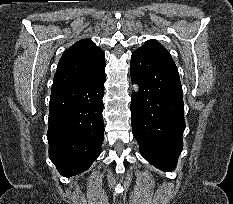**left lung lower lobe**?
<instances>
[{
  "label": "left lung lower lobe",
  "mask_w": 233,
  "mask_h": 204,
  "mask_svg": "<svg viewBox=\"0 0 233 204\" xmlns=\"http://www.w3.org/2000/svg\"><path fill=\"white\" fill-rule=\"evenodd\" d=\"M130 73L140 91L131 100V123L141 155L163 171H171L182 151L185 129L183 91L174 61L138 48Z\"/></svg>",
  "instance_id": "obj_1"
}]
</instances>
